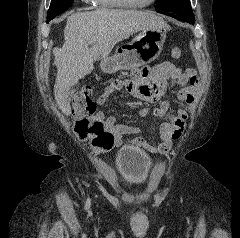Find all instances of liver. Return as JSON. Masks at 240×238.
<instances>
[{
    "instance_id": "obj_1",
    "label": "liver",
    "mask_w": 240,
    "mask_h": 238,
    "mask_svg": "<svg viewBox=\"0 0 240 238\" xmlns=\"http://www.w3.org/2000/svg\"><path fill=\"white\" fill-rule=\"evenodd\" d=\"M149 27L169 26L149 11L107 9L76 12L67 17L62 48H54L57 76L54 95L58 108L71 114V87L93 70V62L107 57L113 47ZM90 45V47H89Z\"/></svg>"
}]
</instances>
